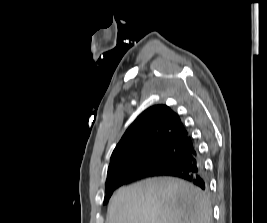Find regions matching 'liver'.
Instances as JSON below:
<instances>
[{
  "label": "liver",
  "instance_id": "6515ba94",
  "mask_svg": "<svg viewBox=\"0 0 267 223\" xmlns=\"http://www.w3.org/2000/svg\"><path fill=\"white\" fill-rule=\"evenodd\" d=\"M208 197L175 178L146 179L112 196L106 223H211Z\"/></svg>",
  "mask_w": 267,
  "mask_h": 223
}]
</instances>
